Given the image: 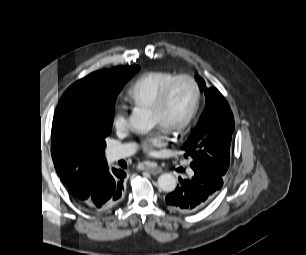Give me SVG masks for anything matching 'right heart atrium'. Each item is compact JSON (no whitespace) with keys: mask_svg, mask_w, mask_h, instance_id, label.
<instances>
[{"mask_svg":"<svg viewBox=\"0 0 306 255\" xmlns=\"http://www.w3.org/2000/svg\"><path fill=\"white\" fill-rule=\"evenodd\" d=\"M113 126L118 131H125L129 127V118L123 112H116L113 115Z\"/></svg>","mask_w":306,"mask_h":255,"instance_id":"obj_1","label":"right heart atrium"}]
</instances>
